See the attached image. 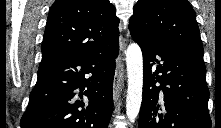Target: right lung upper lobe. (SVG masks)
I'll use <instances>...</instances> for the list:
<instances>
[{"label": "right lung upper lobe", "mask_w": 221, "mask_h": 128, "mask_svg": "<svg viewBox=\"0 0 221 128\" xmlns=\"http://www.w3.org/2000/svg\"><path fill=\"white\" fill-rule=\"evenodd\" d=\"M119 19L109 0H56L50 8L39 67L90 54L116 41Z\"/></svg>", "instance_id": "1"}]
</instances>
